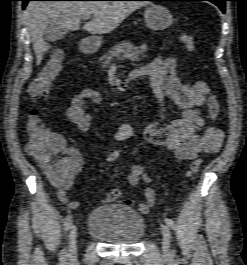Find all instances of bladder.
<instances>
[{"mask_svg": "<svg viewBox=\"0 0 247 265\" xmlns=\"http://www.w3.org/2000/svg\"><path fill=\"white\" fill-rule=\"evenodd\" d=\"M87 233L108 244L133 245L145 234L144 217L122 204L94 208L87 220Z\"/></svg>", "mask_w": 247, "mask_h": 265, "instance_id": "1", "label": "bladder"}]
</instances>
